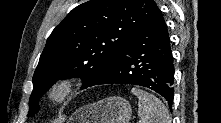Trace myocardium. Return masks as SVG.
I'll return each instance as SVG.
<instances>
[{
    "mask_svg": "<svg viewBox=\"0 0 221 123\" xmlns=\"http://www.w3.org/2000/svg\"><path fill=\"white\" fill-rule=\"evenodd\" d=\"M77 89L76 81L71 78H61L55 81L47 90V101L52 105H61L70 100Z\"/></svg>",
    "mask_w": 221,
    "mask_h": 123,
    "instance_id": "myocardium-1",
    "label": "myocardium"
}]
</instances>
